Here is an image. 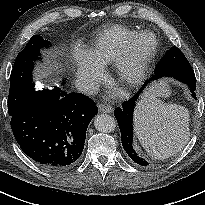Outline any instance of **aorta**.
I'll use <instances>...</instances> for the list:
<instances>
[{"label":"aorta","mask_w":205,"mask_h":205,"mask_svg":"<svg viewBox=\"0 0 205 205\" xmlns=\"http://www.w3.org/2000/svg\"><path fill=\"white\" fill-rule=\"evenodd\" d=\"M95 128L103 133H110L115 130L116 120L107 114L97 115L94 120Z\"/></svg>","instance_id":"762f6f07"}]
</instances>
